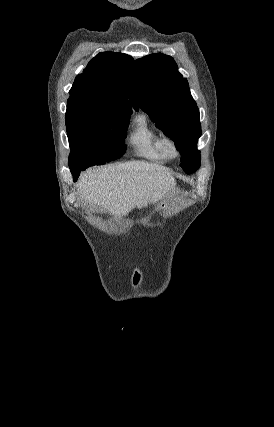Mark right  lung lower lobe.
Here are the masks:
<instances>
[{"label":"right lung lower lobe","instance_id":"98d812e1","mask_svg":"<svg viewBox=\"0 0 274 427\" xmlns=\"http://www.w3.org/2000/svg\"><path fill=\"white\" fill-rule=\"evenodd\" d=\"M69 167H70L71 173H72V175H73V179H74V181H76V180H77V178H78V176H79L80 172H81L82 170L86 169L84 166H81V165H74V166H69Z\"/></svg>","mask_w":274,"mask_h":427}]
</instances>
